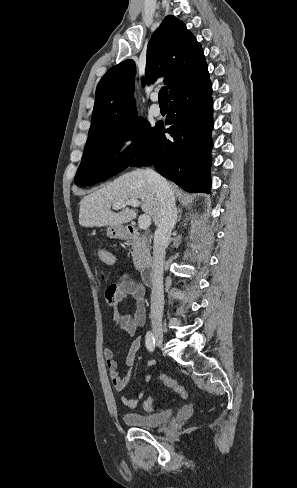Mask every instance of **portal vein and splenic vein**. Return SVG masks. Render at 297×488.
<instances>
[{
  "label": "portal vein and splenic vein",
  "instance_id": "portal-vein-and-splenic-vein-1",
  "mask_svg": "<svg viewBox=\"0 0 297 488\" xmlns=\"http://www.w3.org/2000/svg\"><path fill=\"white\" fill-rule=\"evenodd\" d=\"M126 205H130L133 207H139L140 202L137 199H130L125 203H116L112 205V208L115 210H118L120 208L125 207ZM151 225V218L147 214H143L142 216L139 217L138 219V226L140 229H147Z\"/></svg>",
  "mask_w": 297,
  "mask_h": 488
}]
</instances>
